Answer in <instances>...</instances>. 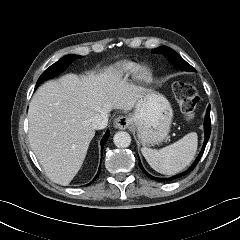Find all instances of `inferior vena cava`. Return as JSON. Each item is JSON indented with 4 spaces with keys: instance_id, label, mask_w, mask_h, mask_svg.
I'll return each mask as SVG.
<instances>
[{
    "instance_id": "obj_1",
    "label": "inferior vena cava",
    "mask_w": 240,
    "mask_h": 240,
    "mask_svg": "<svg viewBox=\"0 0 240 240\" xmlns=\"http://www.w3.org/2000/svg\"><path fill=\"white\" fill-rule=\"evenodd\" d=\"M108 115L107 114H97L92 118V127L96 130L103 129L107 126Z\"/></svg>"
}]
</instances>
